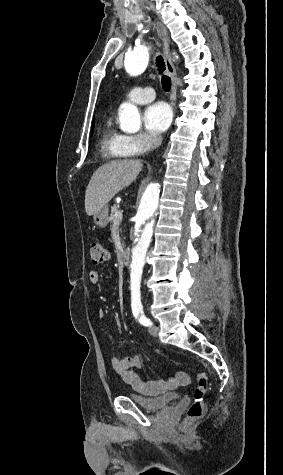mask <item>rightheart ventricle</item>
<instances>
[{
    "mask_svg": "<svg viewBox=\"0 0 283 475\" xmlns=\"http://www.w3.org/2000/svg\"><path fill=\"white\" fill-rule=\"evenodd\" d=\"M100 134L101 148L105 156L110 160H120L123 155L119 149L118 143L122 135L111 118L103 121Z\"/></svg>",
    "mask_w": 283,
    "mask_h": 475,
    "instance_id": "e07e8e85",
    "label": "right heart ventricle"
}]
</instances>
